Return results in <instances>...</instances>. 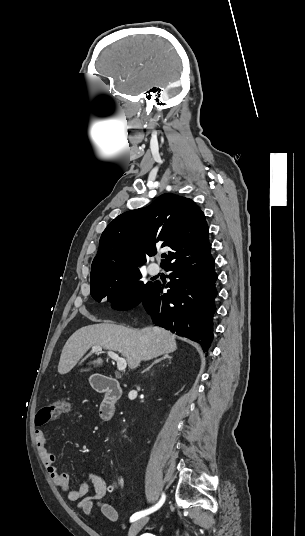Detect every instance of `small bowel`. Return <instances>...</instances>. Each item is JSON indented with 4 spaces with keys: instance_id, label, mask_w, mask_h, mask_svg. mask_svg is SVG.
Listing matches in <instances>:
<instances>
[{
    "instance_id": "1",
    "label": "small bowel",
    "mask_w": 305,
    "mask_h": 536,
    "mask_svg": "<svg viewBox=\"0 0 305 536\" xmlns=\"http://www.w3.org/2000/svg\"><path fill=\"white\" fill-rule=\"evenodd\" d=\"M35 443L41 457L42 463L54 481L56 486L67 493L69 500L77 502L78 508L87 515L93 513L94 508H98L101 513L110 521H117L118 511L116 508L104 501L107 491H115L110 489L107 482L95 475L92 472H87V480H84L78 489H69V475L66 472H61L56 466V456L47 448V440L43 431L36 429L34 432ZM90 480L94 486V493L88 495Z\"/></svg>"
}]
</instances>
